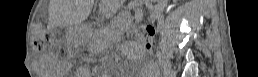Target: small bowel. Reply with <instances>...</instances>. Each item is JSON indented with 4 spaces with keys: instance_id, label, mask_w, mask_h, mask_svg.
<instances>
[{
    "instance_id": "c3829d8e",
    "label": "small bowel",
    "mask_w": 258,
    "mask_h": 77,
    "mask_svg": "<svg viewBox=\"0 0 258 77\" xmlns=\"http://www.w3.org/2000/svg\"><path fill=\"white\" fill-rule=\"evenodd\" d=\"M143 68L145 69V73H151V72L149 71L150 66H149L148 64H145V65L143 66Z\"/></svg>"
}]
</instances>
